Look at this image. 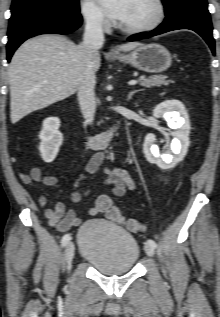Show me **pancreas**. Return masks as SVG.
<instances>
[{
	"label": "pancreas",
	"mask_w": 220,
	"mask_h": 317,
	"mask_svg": "<svg viewBox=\"0 0 220 317\" xmlns=\"http://www.w3.org/2000/svg\"><path fill=\"white\" fill-rule=\"evenodd\" d=\"M166 76H150L149 78L145 77L144 75L139 77L140 85L143 87H153L157 86L160 87L161 85H168L169 83H173L172 80H166Z\"/></svg>",
	"instance_id": "pancreas-1"
}]
</instances>
